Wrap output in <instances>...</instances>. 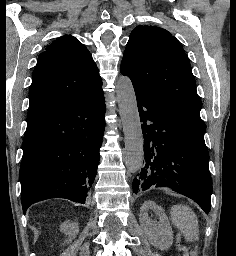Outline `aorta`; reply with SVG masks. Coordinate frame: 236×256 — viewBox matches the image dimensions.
Listing matches in <instances>:
<instances>
[{"mask_svg": "<svg viewBox=\"0 0 236 256\" xmlns=\"http://www.w3.org/2000/svg\"><path fill=\"white\" fill-rule=\"evenodd\" d=\"M116 100L125 136V166L130 173H137L143 165L144 141L134 88L126 76L117 80Z\"/></svg>", "mask_w": 236, "mask_h": 256, "instance_id": "762f6f07", "label": "aorta"}]
</instances>
